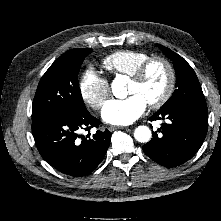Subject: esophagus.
Returning <instances> with one entry per match:
<instances>
[{"instance_id": "obj_1", "label": "esophagus", "mask_w": 221, "mask_h": 221, "mask_svg": "<svg viewBox=\"0 0 221 221\" xmlns=\"http://www.w3.org/2000/svg\"><path fill=\"white\" fill-rule=\"evenodd\" d=\"M110 131L118 130V129H126L125 127L122 126H109L108 128Z\"/></svg>"}]
</instances>
